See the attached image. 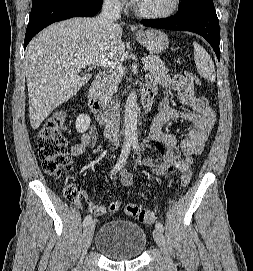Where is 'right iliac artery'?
Here are the masks:
<instances>
[{"label": "right iliac artery", "instance_id": "1", "mask_svg": "<svg viewBox=\"0 0 253 271\" xmlns=\"http://www.w3.org/2000/svg\"><path fill=\"white\" fill-rule=\"evenodd\" d=\"M130 150H131V142L125 141L123 143V147H122V150H121L120 157H119L116 165L113 167L112 171L110 172V175L116 174V172L118 170H120L126 164L127 158H128V156L130 154ZM91 220H92V216L87 215L84 218L83 226L88 225L91 222Z\"/></svg>", "mask_w": 253, "mask_h": 271}]
</instances>
